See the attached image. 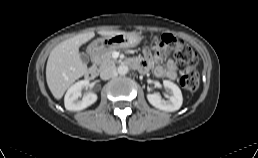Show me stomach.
Returning <instances> with one entry per match:
<instances>
[{
    "label": "stomach",
    "instance_id": "1",
    "mask_svg": "<svg viewBox=\"0 0 258 158\" xmlns=\"http://www.w3.org/2000/svg\"><path fill=\"white\" fill-rule=\"evenodd\" d=\"M141 40L142 36L139 33L128 32L98 38L90 46L96 53H104L111 49L135 47Z\"/></svg>",
    "mask_w": 258,
    "mask_h": 158
}]
</instances>
